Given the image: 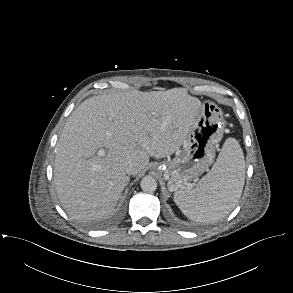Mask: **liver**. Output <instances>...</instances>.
Masks as SVG:
<instances>
[{
  "label": "liver",
  "instance_id": "1",
  "mask_svg": "<svg viewBox=\"0 0 293 293\" xmlns=\"http://www.w3.org/2000/svg\"><path fill=\"white\" fill-rule=\"evenodd\" d=\"M201 106L184 88L133 90L83 101L56 145L54 184L67 214L82 222L109 216L130 181L125 166L134 164L137 175L150 157L176 152Z\"/></svg>",
  "mask_w": 293,
  "mask_h": 293
}]
</instances>
